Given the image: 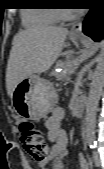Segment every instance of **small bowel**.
Here are the masks:
<instances>
[{
	"mask_svg": "<svg viewBox=\"0 0 104 169\" xmlns=\"http://www.w3.org/2000/svg\"><path fill=\"white\" fill-rule=\"evenodd\" d=\"M64 110L56 107L45 121L47 137L53 143L48 158L38 163L39 169H48V163L52 162L53 169H63L62 160L68 155V139L63 128ZM80 169H89V164L83 154H79Z\"/></svg>",
	"mask_w": 104,
	"mask_h": 169,
	"instance_id": "1",
	"label": "small bowel"
}]
</instances>
